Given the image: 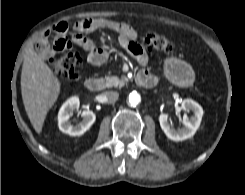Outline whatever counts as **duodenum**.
<instances>
[{
	"instance_id": "duodenum-1",
	"label": "duodenum",
	"mask_w": 245,
	"mask_h": 195,
	"mask_svg": "<svg viewBox=\"0 0 245 195\" xmlns=\"http://www.w3.org/2000/svg\"><path fill=\"white\" fill-rule=\"evenodd\" d=\"M136 84L139 87L150 89L156 86L157 80L151 74L141 71L136 76ZM85 86L88 90L92 92H98L103 89L104 84L102 80L96 77H89L85 80Z\"/></svg>"
}]
</instances>
